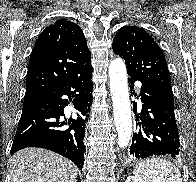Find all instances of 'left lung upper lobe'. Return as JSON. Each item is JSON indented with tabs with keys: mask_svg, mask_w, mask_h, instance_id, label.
Returning <instances> with one entry per match:
<instances>
[{
	"mask_svg": "<svg viewBox=\"0 0 196 182\" xmlns=\"http://www.w3.org/2000/svg\"><path fill=\"white\" fill-rule=\"evenodd\" d=\"M113 51L125 60L133 73L174 104L171 77L165 56L152 36L136 26L120 28L113 40Z\"/></svg>",
	"mask_w": 196,
	"mask_h": 182,
	"instance_id": "1",
	"label": "left lung upper lobe"
}]
</instances>
